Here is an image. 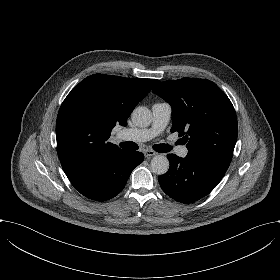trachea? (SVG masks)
<instances>
[{
	"mask_svg": "<svg viewBox=\"0 0 280 280\" xmlns=\"http://www.w3.org/2000/svg\"><path fill=\"white\" fill-rule=\"evenodd\" d=\"M120 147L122 149L128 150V151H134V150L138 149V145L131 141H126V142L120 143ZM153 149L157 152L165 153V152H168L169 147L166 144H155L153 146Z\"/></svg>",
	"mask_w": 280,
	"mask_h": 280,
	"instance_id": "1",
	"label": "trachea"
}]
</instances>
